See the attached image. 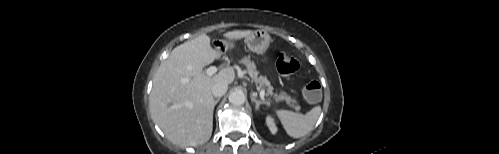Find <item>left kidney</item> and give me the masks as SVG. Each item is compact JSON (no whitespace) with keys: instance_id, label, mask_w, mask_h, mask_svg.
Segmentation results:
<instances>
[{"instance_id":"1","label":"left kidney","mask_w":499,"mask_h":154,"mask_svg":"<svg viewBox=\"0 0 499 154\" xmlns=\"http://www.w3.org/2000/svg\"><path fill=\"white\" fill-rule=\"evenodd\" d=\"M266 124L269 127V130L271 131L272 134H275L277 132V127L272 117L268 116L266 118Z\"/></svg>"}]
</instances>
